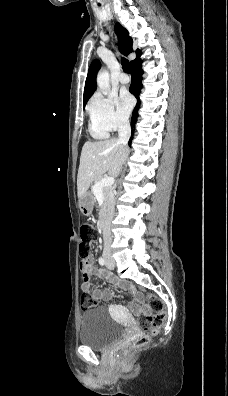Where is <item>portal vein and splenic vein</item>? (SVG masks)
<instances>
[{
	"label": "portal vein and splenic vein",
	"instance_id": "1",
	"mask_svg": "<svg viewBox=\"0 0 228 396\" xmlns=\"http://www.w3.org/2000/svg\"><path fill=\"white\" fill-rule=\"evenodd\" d=\"M114 183V178L111 176L105 177L103 179H101L95 187V192H98L99 190H101L103 187H108L111 186Z\"/></svg>",
	"mask_w": 228,
	"mask_h": 396
}]
</instances>
